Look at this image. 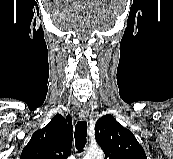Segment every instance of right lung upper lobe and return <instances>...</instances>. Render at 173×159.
Segmentation results:
<instances>
[{"instance_id":"obj_1","label":"right lung upper lobe","mask_w":173,"mask_h":159,"mask_svg":"<svg viewBox=\"0 0 173 159\" xmlns=\"http://www.w3.org/2000/svg\"><path fill=\"white\" fill-rule=\"evenodd\" d=\"M72 140L71 116L65 119L57 114L32 135L20 159H66L71 154Z\"/></svg>"}]
</instances>
